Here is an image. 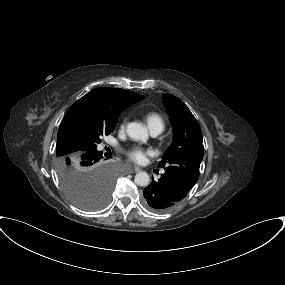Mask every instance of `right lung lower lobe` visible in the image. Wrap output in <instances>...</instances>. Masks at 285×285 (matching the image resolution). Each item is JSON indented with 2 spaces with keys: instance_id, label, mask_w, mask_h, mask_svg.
Instances as JSON below:
<instances>
[{
  "instance_id": "obj_1",
  "label": "right lung lower lobe",
  "mask_w": 285,
  "mask_h": 285,
  "mask_svg": "<svg viewBox=\"0 0 285 285\" xmlns=\"http://www.w3.org/2000/svg\"><path fill=\"white\" fill-rule=\"evenodd\" d=\"M102 158V152L100 151H86L82 154V163L86 167L93 168L94 170H103V168L100 167Z\"/></svg>"
}]
</instances>
